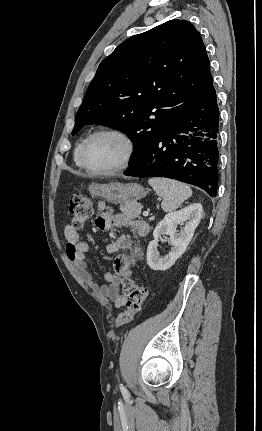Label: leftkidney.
<instances>
[{
  "mask_svg": "<svg viewBox=\"0 0 262 431\" xmlns=\"http://www.w3.org/2000/svg\"><path fill=\"white\" fill-rule=\"evenodd\" d=\"M203 213L201 204H192L182 210L167 214L154 229L152 240L147 248V263L152 270L165 271L169 269L187 249L194 231L199 225ZM185 226L177 233L178 224ZM162 235L170 236L172 246L170 252L161 257L158 250V240Z\"/></svg>",
  "mask_w": 262,
  "mask_h": 431,
  "instance_id": "1",
  "label": "left kidney"
}]
</instances>
